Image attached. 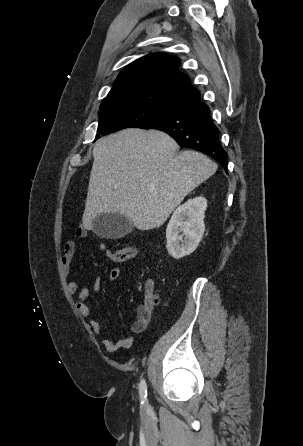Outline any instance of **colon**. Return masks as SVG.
<instances>
[{
	"label": "colon",
	"instance_id": "obj_1",
	"mask_svg": "<svg viewBox=\"0 0 303 446\" xmlns=\"http://www.w3.org/2000/svg\"><path fill=\"white\" fill-rule=\"evenodd\" d=\"M138 251H139V248L136 245L126 246V247L116 250L114 252L107 250V249L104 250L107 257L115 263H122L129 259H132L133 257H135L137 255ZM159 300H160V296L156 293L152 294L149 299V301L153 304L158 303Z\"/></svg>",
	"mask_w": 303,
	"mask_h": 446
}]
</instances>
